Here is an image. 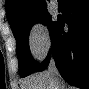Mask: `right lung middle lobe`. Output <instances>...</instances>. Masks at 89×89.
<instances>
[{"label": "right lung middle lobe", "instance_id": "dd1d6c3e", "mask_svg": "<svg viewBox=\"0 0 89 89\" xmlns=\"http://www.w3.org/2000/svg\"><path fill=\"white\" fill-rule=\"evenodd\" d=\"M36 23L46 25L50 35L57 24V22L52 21V16L45 10L33 16L24 18L11 27L16 39V51L21 77H26L32 74L39 66V64L32 58L28 43L30 29Z\"/></svg>", "mask_w": 89, "mask_h": 89}]
</instances>
